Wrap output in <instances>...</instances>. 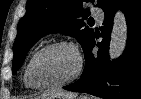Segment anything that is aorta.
I'll list each match as a JSON object with an SVG mask.
<instances>
[{"mask_svg": "<svg viewBox=\"0 0 141 99\" xmlns=\"http://www.w3.org/2000/svg\"><path fill=\"white\" fill-rule=\"evenodd\" d=\"M127 22L124 13L118 10L114 16L111 39L109 45V56L111 60L119 58L126 47Z\"/></svg>", "mask_w": 141, "mask_h": 99, "instance_id": "762f6f07", "label": "aorta"}]
</instances>
